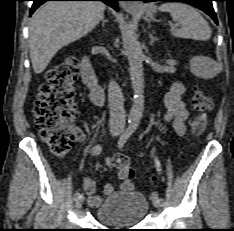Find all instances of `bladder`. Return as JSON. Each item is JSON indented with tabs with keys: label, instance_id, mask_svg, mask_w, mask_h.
<instances>
[{
	"label": "bladder",
	"instance_id": "31cf9c89",
	"mask_svg": "<svg viewBox=\"0 0 234 231\" xmlns=\"http://www.w3.org/2000/svg\"><path fill=\"white\" fill-rule=\"evenodd\" d=\"M149 211L146 196L137 191L111 194L96 210L98 222L114 226L139 224Z\"/></svg>",
	"mask_w": 234,
	"mask_h": 231
}]
</instances>
